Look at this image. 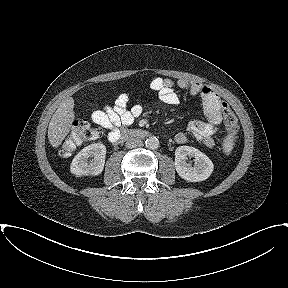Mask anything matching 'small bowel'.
Wrapping results in <instances>:
<instances>
[{"mask_svg":"<svg viewBox=\"0 0 288 288\" xmlns=\"http://www.w3.org/2000/svg\"><path fill=\"white\" fill-rule=\"evenodd\" d=\"M150 87L158 94L159 99L167 105L179 104V96L175 90L176 87L185 90L191 96L199 97L202 101L206 120H190L187 125V131L206 147L213 148V137L217 131V126L222 121V101L217 93L204 84L187 79L174 81L169 78L157 77L151 81ZM129 102V95L124 93L117 97L112 107L107 106L102 110H95L91 114V119L94 123L108 130V140L110 142L117 140L124 129H121V127L131 125L143 112V103L141 100H138L131 107H128ZM175 141L178 144L186 143V133H177Z\"/></svg>","mask_w":288,"mask_h":288,"instance_id":"obj_1","label":"small bowel"}]
</instances>
